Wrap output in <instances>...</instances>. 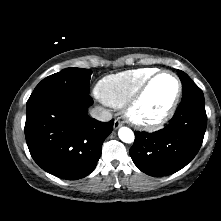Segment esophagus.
Returning a JSON list of instances; mask_svg holds the SVG:
<instances>
[{"label":"esophagus","mask_w":221,"mask_h":221,"mask_svg":"<svg viewBox=\"0 0 221 221\" xmlns=\"http://www.w3.org/2000/svg\"><path fill=\"white\" fill-rule=\"evenodd\" d=\"M123 121L122 120H120L119 118L118 119H116L115 121H114V129H118L119 127H121L122 125H123Z\"/></svg>","instance_id":"1"}]
</instances>
